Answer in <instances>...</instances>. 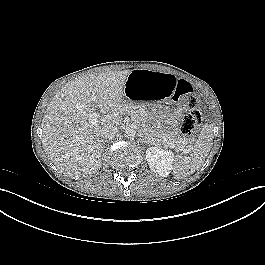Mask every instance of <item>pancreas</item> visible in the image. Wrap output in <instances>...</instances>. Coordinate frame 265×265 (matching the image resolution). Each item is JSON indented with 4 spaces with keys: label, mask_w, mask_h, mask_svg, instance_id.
Here are the masks:
<instances>
[{
    "label": "pancreas",
    "mask_w": 265,
    "mask_h": 265,
    "mask_svg": "<svg viewBox=\"0 0 265 265\" xmlns=\"http://www.w3.org/2000/svg\"><path fill=\"white\" fill-rule=\"evenodd\" d=\"M121 114H129L132 119L140 125L142 132L152 139L154 144H175L177 139L170 132L163 129H156L148 124L149 112L142 106L132 102H125L117 109Z\"/></svg>",
    "instance_id": "obj_1"
}]
</instances>
